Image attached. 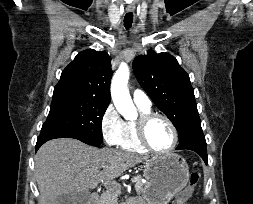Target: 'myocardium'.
I'll use <instances>...</instances> for the list:
<instances>
[{"label":"myocardium","instance_id":"obj_1","mask_svg":"<svg viewBox=\"0 0 253 204\" xmlns=\"http://www.w3.org/2000/svg\"><path fill=\"white\" fill-rule=\"evenodd\" d=\"M155 119L164 120L169 125V127L172 131L173 142H172L171 146L166 150L155 149L150 144V142L147 138V128H148L149 124ZM136 128H137L138 139H139L141 145L149 152H152L155 154L167 155V154L172 153L175 150V148L177 147L178 140H179L177 128L174 125V123L171 121V119L164 114L154 113V112L143 114L137 120Z\"/></svg>","mask_w":253,"mask_h":204}]
</instances>
